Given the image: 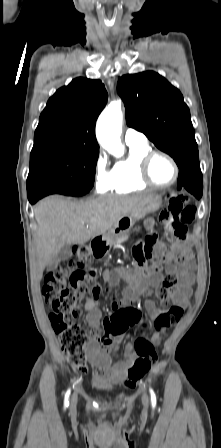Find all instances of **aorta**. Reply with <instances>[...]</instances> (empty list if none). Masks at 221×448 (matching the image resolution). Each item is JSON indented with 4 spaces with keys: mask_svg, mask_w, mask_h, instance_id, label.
Listing matches in <instances>:
<instances>
[{
    "mask_svg": "<svg viewBox=\"0 0 221 448\" xmlns=\"http://www.w3.org/2000/svg\"><path fill=\"white\" fill-rule=\"evenodd\" d=\"M123 113L121 102L114 101L99 116L96 126V135L101 146L110 154L120 157L124 154L121 143Z\"/></svg>",
    "mask_w": 221,
    "mask_h": 448,
    "instance_id": "1",
    "label": "aorta"
}]
</instances>
